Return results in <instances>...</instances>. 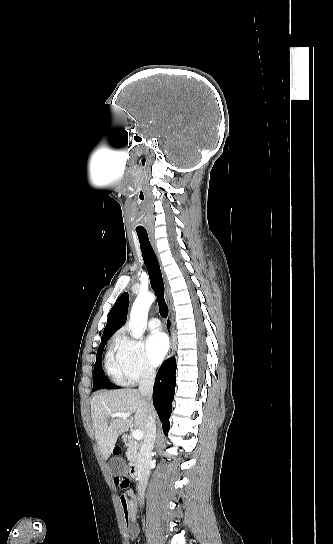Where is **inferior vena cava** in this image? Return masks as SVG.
Segmentation results:
<instances>
[{"instance_id": "602c4592", "label": "inferior vena cava", "mask_w": 333, "mask_h": 544, "mask_svg": "<svg viewBox=\"0 0 333 544\" xmlns=\"http://www.w3.org/2000/svg\"><path fill=\"white\" fill-rule=\"evenodd\" d=\"M155 370L149 366L143 368L140 382H139V393L147 398L148 405L150 410L147 414V423L145 429L144 440L141 444L140 453L138 457V498L143 504L145 490L148 484V479L150 475V465H151V453L154 447L155 438H156V423L155 415L151 407V397L153 391V385L155 382Z\"/></svg>"}]
</instances>
